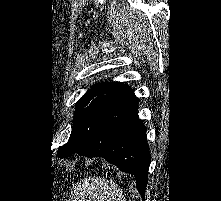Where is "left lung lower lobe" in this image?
I'll return each mask as SVG.
<instances>
[{
  "label": "left lung lower lobe",
  "instance_id": "1",
  "mask_svg": "<svg viewBox=\"0 0 221 201\" xmlns=\"http://www.w3.org/2000/svg\"><path fill=\"white\" fill-rule=\"evenodd\" d=\"M137 108L138 100L133 93L107 113L77 152L89 158L103 157L123 172L134 175L144 200L151 156L146 128L137 115Z\"/></svg>",
  "mask_w": 221,
  "mask_h": 201
}]
</instances>
